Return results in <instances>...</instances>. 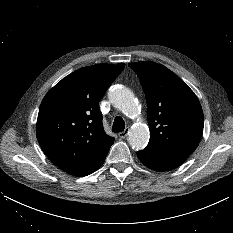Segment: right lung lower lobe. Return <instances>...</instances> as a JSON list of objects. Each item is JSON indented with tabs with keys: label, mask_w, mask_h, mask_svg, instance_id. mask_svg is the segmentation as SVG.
<instances>
[{
	"label": "right lung lower lobe",
	"mask_w": 233,
	"mask_h": 233,
	"mask_svg": "<svg viewBox=\"0 0 233 233\" xmlns=\"http://www.w3.org/2000/svg\"><path fill=\"white\" fill-rule=\"evenodd\" d=\"M106 155L103 158H101L98 163H96L95 165H93L92 167L87 169L86 171H84V172H82V173H80V174H78L76 176L82 177V176L89 175V174L93 173L94 171H96L104 163Z\"/></svg>",
	"instance_id": "1"
}]
</instances>
